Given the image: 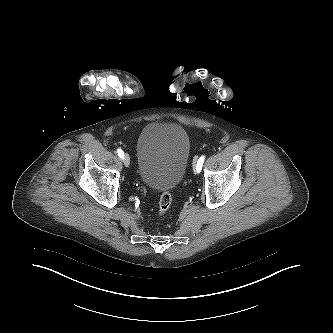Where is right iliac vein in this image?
Returning <instances> with one entry per match:
<instances>
[{
	"label": "right iliac vein",
	"mask_w": 333,
	"mask_h": 333,
	"mask_svg": "<svg viewBox=\"0 0 333 333\" xmlns=\"http://www.w3.org/2000/svg\"><path fill=\"white\" fill-rule=\"evenodd\" d=\"M123 162H124V165H125L126 167H128V166L130 165V157H129L128 154H125V155H124Z\"/></svg>",
	"instance_id": "1"
}]
</instances>
